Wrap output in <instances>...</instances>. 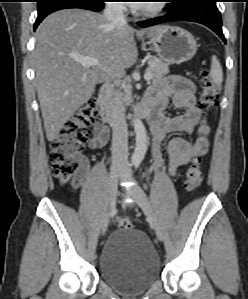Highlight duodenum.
Here are the masks:
<instances>
[{
  "label": "duodenum",
  "mask_w": 248,
  "mask_h": 299,
  "mask_svg": "<svg viewBox=\"0 0 248 299\" xmlns=\"http://www.w3.org/2000/svg\"><path fill=\"white\" fill-rule=\"evenodd\" d=\"M113 84L107 82L100 88L97 103L100 110V117L104 123H113L116 118V110L112 103ZM150 106L147 103H140L135 107L134 119L146 118L150 114Z\"/></svg>",
  "instance_id": "1"
}]
</instances>
